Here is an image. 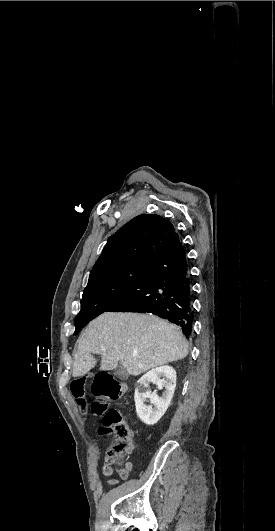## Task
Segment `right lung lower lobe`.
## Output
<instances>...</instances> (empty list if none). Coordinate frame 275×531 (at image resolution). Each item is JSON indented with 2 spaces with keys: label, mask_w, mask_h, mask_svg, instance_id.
I'll return each mask as SVG.
<instances>
[{
  "label": "right lung lower lobe",
  "mask_w": 275,
  "mask_h": 531,
  "mask_svg": "<svg viewBox=\"0 0 275 531\" xmlns=\"http://www.w3.org/2000/svg\"><path fill=\"white\" fill-rule=\"evenodd\" d=\"M107 311L154 314L178 325L185 336L191 335V281L185 250L177 233L146 265L136 283Z\"/></svg>",
  "instance_id": "obj_1"
}]
</instances>
